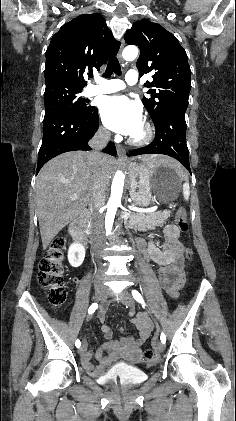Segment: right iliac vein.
<instances>
[{
  "instance_id": "1",
  "label": "right iliac vein",
  "mask_w": 236,
  "mask_h": 421,
  "mask_svg": "<svg viewBox=\"0 0 236 421\" xmlns=\"http://www.w3.org/2000/svg\"><path fill=\"white\" fill-rule=\"evenodd\" d=\"M101 283L98 284V286L95 287L94 291V299L96 301H102L105 296L108 294L107 291L102 288ZM86 352V345L83 343L82 346L79 348V354L83 355Z\"/></svg>"
}]
</instances>
